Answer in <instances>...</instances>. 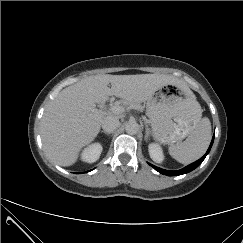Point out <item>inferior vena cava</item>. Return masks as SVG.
Masks as SVG:
<instances>
[{
  "mask_svg": "<svg viewBox=\"0 0 243 243\" xmlns=\"http://www.w3.org/2000/svg\"><path fill=\"white\" fill-rule=\"evenodd\" d=\"M120 122L115 116H107L103 119L101 126L105 132H113L118 128Z\"/></svg>",
  "mask_w": 243,
  "mask_h": 243,
  "instance_id": "inferior-vena-cava-1",
  "label": "inferior vena cava"
}]
</instances>
